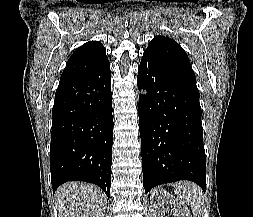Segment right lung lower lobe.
<instances>
[{
	"mask_svg": "<svg viewBox=\"0 0 253 217\" xmlns=\"http://www.w3.org/2000/svg\"><path fill=\"white\" fill-rule=\"evenodd\" d=\"M50 169L53 191L67 181L91 182L108 198L113 116L109 62L60 82L52 109Z\"/></svg>",
	"mask_w": 253,
	"mask_h": 217,
	"instance_id": "1",
	"label": "right lung lower lobe"
}]
</instances>
